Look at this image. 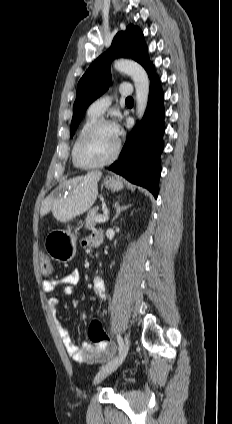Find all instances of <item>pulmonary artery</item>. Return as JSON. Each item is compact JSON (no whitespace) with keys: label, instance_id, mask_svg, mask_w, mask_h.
Wrapping results in <instances>:
<instances>
[{"label":"pulmonary artery","instance_id":"pulmonary-artery-1","mask_svg":"<svg viewBox=\"0 0 232 424\" xmlns=\"http://www.w3.org/2000/svg\"><path fill=\"white\" fill-rule=\"evenodd\" d=\"M121 96H129L132 93V86L128 83L121 84L118 90ZM112 96L104 95L95 100L88 108V112L100 116L111 104Z\"/></svg>","mask_w":232,"mask_h":424}]
</instances>
